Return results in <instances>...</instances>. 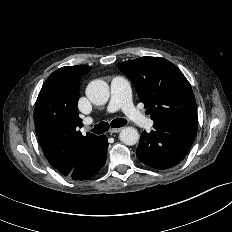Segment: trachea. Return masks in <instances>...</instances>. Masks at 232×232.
<instances>
[{
    "label": "trachea",
    "mask_w": 232,
    "mask_h": 232,
    "mask_svg": "<svg viewBox=\"0 0 232 232\" xmlns=\"http://www.w3.org/2000/svg\"><path fill=\"white\" fill-rule=\"evenodd\" d=\"M127 121L122 118L114 119L110 125L111 127L118 128L126 125ZM109 129V124L107 122H100L91 130L93 133L102 134Z\"/></svg>",
    "instance_id": "obj_1"
}]
</instances>
